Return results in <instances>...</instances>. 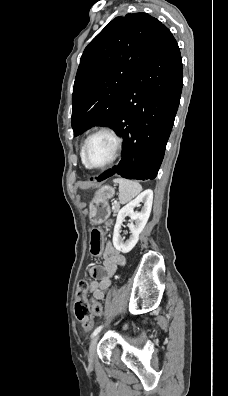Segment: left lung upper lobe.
<instances>
[{
    "label": "left lung upper lobe",
    "instance_id": "obj_1",
    "mask_svg": "<svg viewBox=\"0 0 228 396\" xmlns=\"http://www.w3.org/2000/svg\"><path fill=\"white\" fill-rule=\"evenodd\" d=\"M162 27L147 13L126 14L113 19L85 48L72 95L74 136L95 125L113 126Z\"/></svg>",
    "mask_w": 228,
    "mask_h": 396
}]
</instances>
